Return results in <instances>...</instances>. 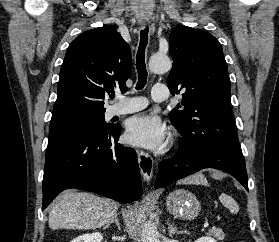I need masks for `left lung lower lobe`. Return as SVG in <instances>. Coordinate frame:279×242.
<instances>
[{"mask_svg":"<svg viewBox=\"0 0 279 242\" xmlns=\"http://www.w3.org/2000/svg\"><path fill=\"white\" fill-rule=\"evenodd\" d=\"M205 168L228 172L248 190V177L243 155L214 148L196 151L179 150L174 157L160 162L155 188L166 187Z\"/></svg>","mask_w":279,"mask_h":242,"instance_id":"0a47b994","label":"left lung lower lobe"}]
</instances>
